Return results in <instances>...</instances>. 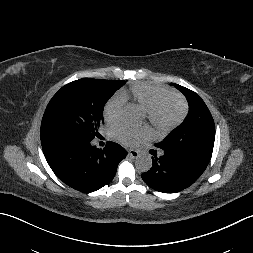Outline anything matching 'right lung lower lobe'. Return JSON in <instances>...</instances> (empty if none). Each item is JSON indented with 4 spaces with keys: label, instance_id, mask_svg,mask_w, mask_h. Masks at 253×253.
<instances>
[{
    "label": "right lung lower lobe",
    "instance_id": "98d812e1",
    "mask_svg": "<svg viewBox=\"0 0 253 253\" xmlns=\"http://www.w3.org/2000/svg\"><path fill=\"white\" fill-rule=\"evenodd\" d=\"M42 148L55 175L84 193L111 182L119 162L126 157V150L115 142L98 149L90 141L54 138L43 141Z\"/></svg>",
    "mask_w": 253,
    "mask_h": 253
}]
</instances>
